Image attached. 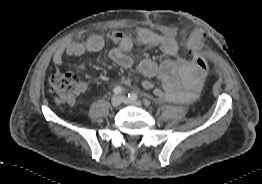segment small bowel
<instances>
[{"instance_id": "small-bowel-1", "label": "small bowel", "mask_w": 262, "mask_h": 184, "mask_svg": "<svg viewBox=\"0 0 262 184\" xmlns=\"http://www.w3.org/2000/svg\"><path fill=\"white\" fill-rule=\"evenodd\" d=\"M106 38L116 45L110 50L109 58L124 69L133 65V59L129 52L137 45L157 47L167 56V59L161 63H156L150 59H142L139 62L140 73L148 78L142 81L144 89L153 90L156 96L171 102L188 103L198 98L205 72L198 70L189 59L180 54L178 43L173 35L155 33L149 30H140L135 35H131L112 30L107 33ZM207 38L205 25L200 24L197 28L191 29L185 45L186 51L194 52ZM104 44L105 40L100 35H92L83 42H68L56 49L52 62L55 65H61L68 57L83 58L87 54L102 50ZM79 67L85 68L84 61L79 64ZM150 78L159 79L161 86L155 87L149 80ZM125 82H130V79H126Z\"/></svg>"}]
</instances>
